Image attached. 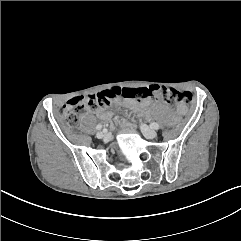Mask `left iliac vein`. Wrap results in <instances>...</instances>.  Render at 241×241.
Masks as SVG:
<instances>
[{"instance_id": "left-iliac-vein-1", "label": "left iliac vein", "mask_w": 241, "mask_h": 241, "mask_svg": "<svg viewBox=\"0 0 241 241\" xmlns=\"http://www.w3.org/2000/svg\"><path fill=\"white\" fill-rule=\"evenodd\" d=\"M141 131L147 139H154L157 136L156 131L145 124H141Z\"/></svg>"}]
</instances>
